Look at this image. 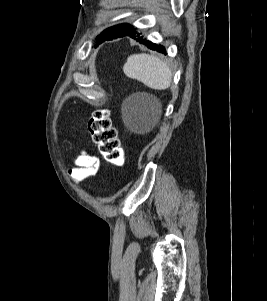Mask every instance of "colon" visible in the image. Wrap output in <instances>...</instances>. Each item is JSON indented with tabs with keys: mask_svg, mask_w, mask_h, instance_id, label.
Here are the masks:
<instances>
[{
	"mask_svg": "<svg viewBox=\"0 0 267 301\" xmlns=\"http://www.w3.org/2000/svg\"><path fill=\"white\" fill-rule=\"evenodd\" d=\"M88 130L93 142L107 162L116 166L124 165V150L117 131L112 125L108 110L99 109L94 111L88 120Z\"/></svg>",
	"mask_w": 267,
	"mask_h": 301,
	"instance_id": "1",
	"label": "colon"
}]
</instances>
